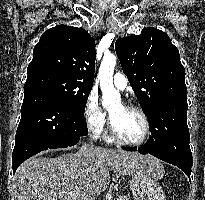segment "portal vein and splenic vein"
Wrapping results in <instances>:
<instances>
[{
    "mask_svg": "<svg viewBox=\"0 0 205 200\" xmlns=\"http://www.w3.org/2000/svg\"><path fill=\"white\" fill-rule=\"evenodd\" d=\"M73 195H75V193L72 192L68 193V196H73Z\"/></svg>",
    "mask_w": 205,
    "mask_h": 200,
    "instance_id": "portal-vein-and-splenic-vein-1",
    "label": "portal vein and splenic vein"
}]
</instances>
